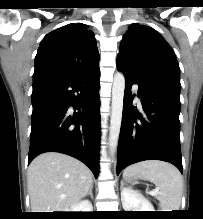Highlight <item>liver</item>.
Wrapping results in <instances>:
<instances>
[{
    "label": "liver",
    "mask_w": 203,
    "mask_h": 219,
    "mask_svg": "<svg viewBox=\"0 0 203 219\" xmlns=\"http://www.w3.org/2000/svg\"><path fill=\"white\" fill-rule=\"evenodd\" d=\"M27 181L32 212H67L88 193L92 172L71 156L47 152L31 162Z\"/></svg>",
    "instance_id": "1"
}]
</instances>
